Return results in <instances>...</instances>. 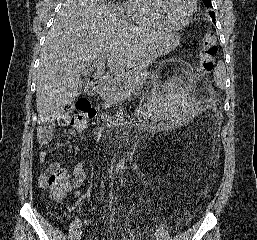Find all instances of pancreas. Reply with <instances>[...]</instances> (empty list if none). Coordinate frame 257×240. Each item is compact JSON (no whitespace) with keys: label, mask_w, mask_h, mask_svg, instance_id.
Masks as SVG:
<instances>
[{"label":"pancreas","mask_w":257,"mask_h":240,"mask_svg":"<svg viewBox=\"0 0 257 240\" xmlns=\"http://www.w3.org/2000/svg\"><path fill=\"white\" fill-rule=\"evenodd\" d=\"M127 75L128 78L122 81L123 85L121 87L124 88L125 91L131 90V93H134L138 87L142 86L146 82V79L149 77V72L147 70H138L128 72ZM98 93L105 101V106L107 107L121 100V98H117V95L120 92L116 89V86H101Z\"/></svg>","instance_id":"pancreas-1"}]
</instances>
